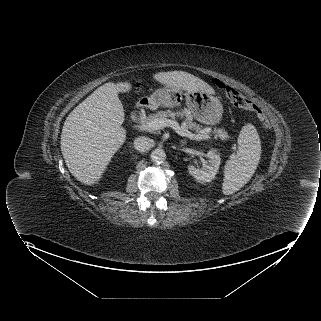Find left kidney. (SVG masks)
<instances>
[{"label":"left kidney","instance_id":"5707ae66","mask_svg":"<svg viewBox=\"0 0 321 321\" xmlns=\"http://www.w3.org/2000/svg\"><path fill=\"white\" fill-rule=\"evenodd\" d=\"M208 164L205 166V170L196 168L193 165L188 166L189 173L200 182H211L220 166L221 158L214 150H210L207 153Z\"/></svg>","mask_w":321,"mask_h":321}]
</instances>
